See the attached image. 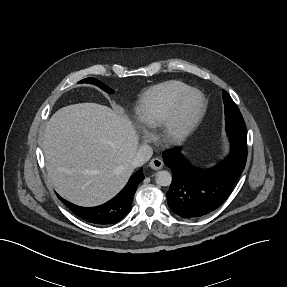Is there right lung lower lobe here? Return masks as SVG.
I'll return each mask as SVG.
<instances>
[{
	"label": "right lung lower lobe",
	"mask_w": 287,
	"mask_h": 287,
	"mask_svg": "<svg viewBox=\"0 0 287 287\" xmlns=\"http://www.w3.org/2000/svg\"><path fill=\"white\" fill-rule=\"evenodd\" d=\"M144 179L142 168L133 174L122 191L97 207H80L58 198L79 218L93 224L110 225L121 221L131 210L138 184Z\"/></svg>",
	"instance_id": "obj_1"
}]
</instances>
